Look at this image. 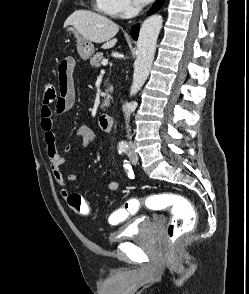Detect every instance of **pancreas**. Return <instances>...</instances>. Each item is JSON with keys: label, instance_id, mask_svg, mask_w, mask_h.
<instances>
[{"label": "pancreas", "instance_id": "obj_1", "mask_svg": "<svg viewBox=\"0 0 249 294\" xmlns=\"http://www.w3.org/2000/svg\"><path fill=\"white\" fill-rule=\"evenodd\" d=\"M103 61V54L102 53H96L93 55V57L90 59V64L93 67H100L101 63ZM113 91V87L110 86L108 90L105 91V100L101 104V108L104 109L105 107H108L110 104V95L109 92Z\"/></svg>", "mask_w": 249, "mask_h": 294}]
</instances>
